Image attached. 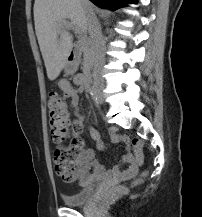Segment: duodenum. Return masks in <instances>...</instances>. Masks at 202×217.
<instances>
[{"instance_id": "1", "label": "duodenum", "mask_w": 202, "mask_h": 217, "mask_svg": "<svg viewBox=\"0 0 202 217\" xmlns=\"http://www.w3.org/2000/svg\"><path fill=\"white\" fill-rule=\"evenodd\" d=\"M67 58H68L67 69H68V71L72 72L77 67L78 60L80 58V52H79L77 46L73 45L71 47V49L68 52ZM82 84H83L84 88L88 90L90 87V79L83 76Z\"/></svg>"}]
</instances>
